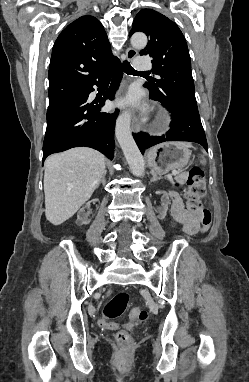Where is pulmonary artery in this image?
Masks as SVG:
<instances>
[{"mask_svg":"<svg viewBox=\"0 0 249 382\" xmlns=\"http://www.w3.org/2000/svg\"><path fill=\"white\" fill-rule=\"evenodd\" d=\"M137 70H149L152 67L150 61L145 57H140L135 60V66Z\"/></svg>","mask_w":249,"mask_h":382,"instance_id":"obj_1","label":"pulmonary artery"}]
</instances>
